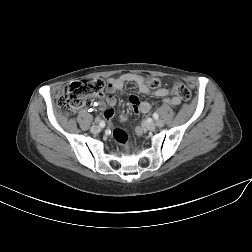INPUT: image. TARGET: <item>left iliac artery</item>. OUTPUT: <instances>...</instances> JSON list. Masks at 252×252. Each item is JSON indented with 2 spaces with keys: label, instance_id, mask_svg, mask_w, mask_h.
<instances>
[{
  "label": "left iliac artery",
  "instance_id": "44dca946",
  "mask_svg": "<svg viewBox=\"0 0 252 252\" xmlns=\"http://www.w3.org/2000/svg\"><path fill=\"white\" fill-rule=\"evenodd\" d=\"M153 118H154L155 120H157V119L159 118V115H158L157 113H154V114H153Z\"/></svg>",
  "mask_w": 252,
  "mask_h": 252
}]
</instances>
